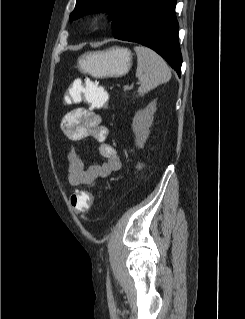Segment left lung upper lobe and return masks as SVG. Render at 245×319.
<instances>
[{
	"label": "left lung upper lobe",
	"mask_w": 245,
	"mask_h": 319,
	"mask_svg": "<svg viewBox=\"0 0 245 319\" xmlns=\"http://www.w3.org/2000/svg\"><path fill=\"white\" fill-rule=\"evenodd\" d=\"M141 0H77L74 11L70 15V19L74 20L90 14L92 12H109L113 19L112 29L113 36L117 35L134 7Z\"/></svg>",
	"instance_id": "5c2ea615"
}]
</instances>
